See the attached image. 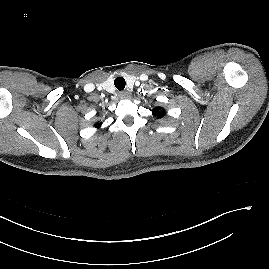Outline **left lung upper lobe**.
Returning a JSON list of instances; mask_svg holds the SVG:
<instances>
[{"label": "left lung upper lobe", "instance_id": "obj_1", "mask_svg": "<svg viewBox=\"0 0 269 269\" xmlns=\"http://www.w3.org/2000/svg\"><path fill=\"white\" fill-rule=\"evenodd\" d=\"M152 113L154 116H156L157 118H161L164 116L165 114V111L164 110H161L160 107H157L155 109L152 110Z\"/></svg>", "mask_w": 269, "mask_h": 269}]
</instances>
